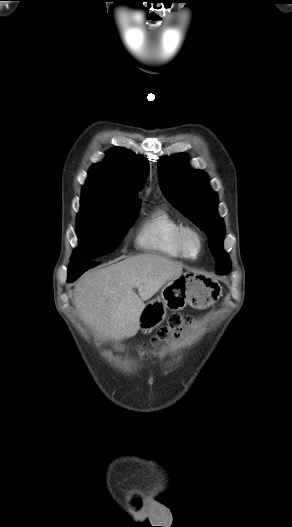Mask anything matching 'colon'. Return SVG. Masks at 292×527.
<instances>
[{"label":"colon","instance_id":"obj_1","mask_svg":"<svg viewBox=\"0 0 292 527\" xmlns=\"http://www.w3.org/2000/svg\"><path fill=\"white\" fill-rule=\"evenodd\" d=\"M189 323H191V317L188 315H172L167 324L157 330L151 343L158 344L179 336Z\"/></svg>","mask_w":292,"mask_h":527}]
</instances>
